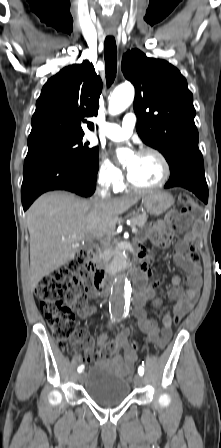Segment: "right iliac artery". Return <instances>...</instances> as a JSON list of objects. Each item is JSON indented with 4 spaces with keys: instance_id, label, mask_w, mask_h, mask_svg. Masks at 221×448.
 <instances>
[{
    "instance_id": "right-iliac-artery-1",
    "label": "right iliac artery",
    "mask_w": 221,
    "mask_h": 448,
    "mask_svg": "<svg viewBox=\"0 0 221 448\" xmlns=\"http://www.w3.org/2000/svg\"><path fill=\"white\" fill-rule=\"evenodd\" d=\"M83 369H84V366H79V367H78V372H82Z\"/></svg>"
}]
</instances>
